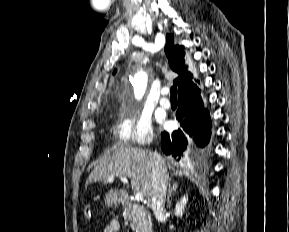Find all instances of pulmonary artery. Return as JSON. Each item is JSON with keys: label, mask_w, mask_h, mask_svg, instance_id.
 I'll return each mask as SVG.
<instances>
[{"label": "pulmonary artery", "mask_w": 289, "mask_h": 232, "mask_svg": "<svg viewBox=\"0 0 289 232\" xmlns=\"http://www.w3.org/2000/svg\"><path fill=\"white\" fill-rule=\"evenodd\" d=\"M169 90L168 88H163L161 91V98H160V105L161 107L168 109L171 106L170 100L166 97V95L168 94Z\"/></svg>", "instance_id": "e3ab8cb5"}]
</instances>
